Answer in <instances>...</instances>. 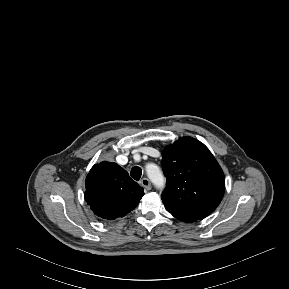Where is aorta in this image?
Here are the masks:
<instances>
[{"label":"aorta","mask_w":289,"mask_h":289,"mask_svg":"<svg viewBox=\"0 0 289 289\" xmlns=\"http://www.w3.org/2000/svg\"><path fill=\"white\" fill-rule=\"evenodd\" d=\"M146 171L149 179L157 188H163L165 186L164 176L158 166L149 164L147 165Z\"/></svg>","instance_id":"obj_1"}]
</instances>
